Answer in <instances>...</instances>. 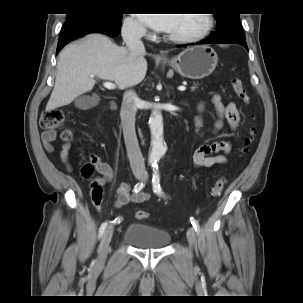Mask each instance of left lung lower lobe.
Masks as SVG:
<instances>
[{
  "instance_id": "1",
  "label": "left lung lower lobe",
  "mask_w": 303,
  "mask_h": 303,
  "mask_svg": "<svg viewBox=\"0 0 303 303\" xmlns=\"http://www.w3.org/2000/svg\"><path fill=\"white\" fill-rule=\"evenodd\" d=\"M204 43H222V44H226V43H237L240 44L242 46H244L246 49L247 48V44L245 42V40H230V39H209L207 38ZM182 46V45H181ZM180 45H178V47H181ZM186 46V45H183Z\"/></svg>"
}]
</instances>
